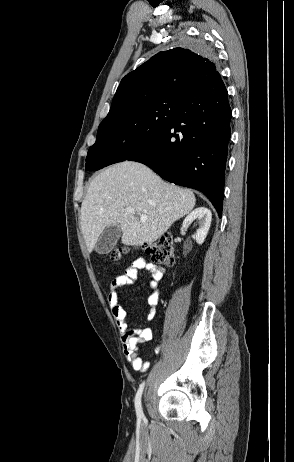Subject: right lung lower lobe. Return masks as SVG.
Instances as JSON below:
<instances>
[{
	"instance_id": "98d812e1",
	"label": "right lung lower lobe",
	"mask_w": 294,
	"mask_h": 462,
	"mask_svg": "<svg viewBox=\"0 0 294 462\" xmlns=\"http://www.w3.org/2000/svg\"><path fill=\"white\" fill-rule=\"evenodd\" d=\"M231 114L220 78L185 96L167 126L126 160L141 162L169 182L203 192L221 217ZM103 167L98 154L87 156L86 170Z\"/></svg>"
}]
</instances>
